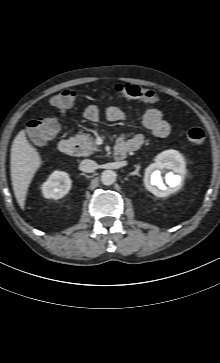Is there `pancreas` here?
<instances>
[{"label":"pancreas","mask_w":220,"mask_h":363,"mask_svg":"<svg viewBox=\"0 0 220 363\" xmlns=\"http://www.w3.org/2000/svg\"><path fill=\"white\" fill-rule=\"evenodd\" d=\"M74 139L79 144L83 156H89L98 151L97 146L93 140V137H91L90 135L78 134L75 136Z\"/></svg>","instance_id":"1"}]
</instances>
